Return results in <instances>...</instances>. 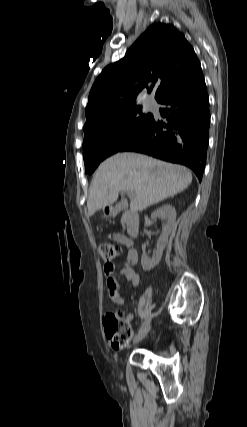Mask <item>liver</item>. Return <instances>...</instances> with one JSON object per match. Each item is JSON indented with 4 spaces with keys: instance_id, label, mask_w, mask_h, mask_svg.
I'll use <instances>...</instances> for the list:
<instances>
[{
    "instance_id": "6515ba94",
    "label": "liver",
    "mask_w": 247,
    "mask_h": 427,
    "mask_svg": "<svg viewBox=\"0 0 247 427\" xmlns=\"http://www.w3.org/2000/svg\"><path fill=\"white\" fill-rule=\"evenodd\" d=\"M191 182L192 173L184 166L137 153H117L95 172L87 199L88 215L113 204L120 191L132 193V211H142L182 192Z\"/></svg>"
}]
</instances>
